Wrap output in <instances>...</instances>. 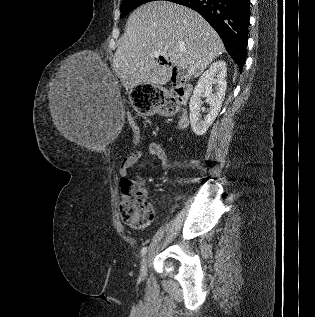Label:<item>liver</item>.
<instances>
[{
  "instance_id": "liver-1",
  "label": "liver",
  "mask_w": 315,
  "mask_h": 317,
  "mask_svg": "<svg viewBox=\"0 0 315 317\" xmlns=\"http://www.w3.org/2000/svg\"><path fill=\"white\" fill-rule=\"evenodd\" d=\"M223 51L219 35L197 12L172 2L154 1L129 16L112 66L126 89L140 84L158 86L171 79L174 66L194 67L195 72L188 76H199ZM159 55L171 65H160L155 60ZM61 82L50 99L53 122L66 139L84 145L80 114L70 98L71 84Z\"/></svg>"
}]
</instances>
